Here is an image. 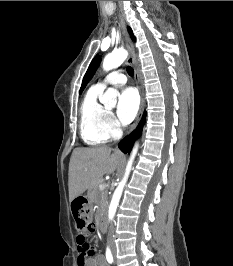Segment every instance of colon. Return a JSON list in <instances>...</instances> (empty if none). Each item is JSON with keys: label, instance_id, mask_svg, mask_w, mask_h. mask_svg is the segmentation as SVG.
I'll return each instance as SVG.
<instances>
[{"label": "colon", "instance_id": "5ec220e1", "mask_svg": "<svg viewBox=\"0 0 233 266\" xmlns=\"http://www.w3.org/2000/svg\"><path fill=\"white\" fill-rule=\"evenodd\" d=\"M93 231H94V226L91 225V228H88L87 232L79 233L76 238L78 251H79L80 264H82L86 258L93 256L95 253L94 248L87 242V234Z\"/></svg>", "mask_w": 233, "mask_h": 266}]
</instances>
